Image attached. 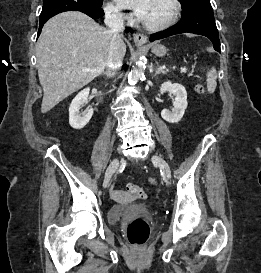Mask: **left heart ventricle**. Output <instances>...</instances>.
Returning <instances> with one entry per match:
<instances>
[{
	"mask_svg": "<svg viewBox=\"0 0 261 273\" xmlns=\"http://www.w3.org/2000/svg\"><path fill=\"white\" fill-rule=\"evenodd\" d=\"M171 13L172 5L169 0H151L143 22L146 24H159L166 21Z\"/></svg>",
	"mask_w": 261,
	"mask_h": 273,
	"instance_id": "b2bd125f",
	"label": "left heart ventricle"
}]
</instances>
